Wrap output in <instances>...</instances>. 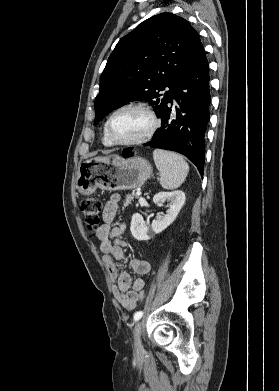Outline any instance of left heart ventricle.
Instances as JSON below:
<instances>
[{"mask_svg": "<svg viewBox=\"0 0 279 391\" xmlns=\"http://www.w3.org/2000/svg\"><path fill=\"white\" fill-rule=\"evenodd\" d=\"M150 127L148 116L137 109H126L117 113L110 127L111 135L118 141H129L143 135Z\"/></svg>", "mask_w": 279, "mask_h": 391, "instance_id": "left-heart-ventricle-1", "label": "left heart ventricle"}]
</instances>
